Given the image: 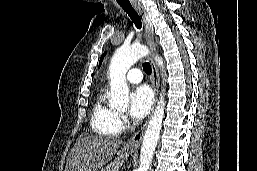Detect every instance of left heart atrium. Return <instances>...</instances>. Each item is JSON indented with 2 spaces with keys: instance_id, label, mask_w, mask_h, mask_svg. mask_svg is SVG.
Masks as SVG:
<instances>
[{
  "instance_id": "left-heart-atrium-1",
  "label": "left heart atrium",
  "mask_w": 257,
  "mask_h": 171,
  "mask_svg": "<svg viewBox=\"0 0 257 171\" xmlns=\"http://www.w3.org/2000/svg\"><path fill=\"white\" fill-rule=\"evenodd\" d=\"M153 95L147 86H139L131 93L130 116L135 120L144 118L150 111Z\"/></svg>"
}]
</instances>
